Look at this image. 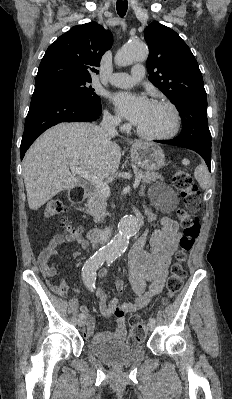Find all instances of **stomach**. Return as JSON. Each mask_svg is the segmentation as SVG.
Instances as JSON below:
<instances>
[{
	"label": "stomach",
	"mask_w": 232,
	"mask_h": 399,
	"mask_svg": "<svg viewBox=\"0 0 232 399\" xmlns=\"http://www.w3.org/2000/svg\"><path fill=\"white\" fill-rule=\"evenodd\" d=\"M132 164L143 170H160L165 166V154L160 146L149 142H135L130 150Z\"/></svg>",
	"instance_id": "1"
}]
</instances>
